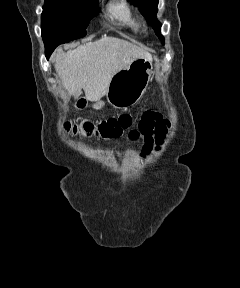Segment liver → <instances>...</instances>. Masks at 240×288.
Returning a JSON list of instances; mask_svg holds the SVG:
<instances>
[{
  "mask_svg": "<svg viewBox=\"0 0 240 288\" xmlns=\"http://www.w3.org/2000/svg\"><path fill=\"white\" fill-rule=\"evenodd\" d=\"M55 70L65 89L77 98L81 89L87 100L98 102L107 95L112 77L137 58L152 61L150 53L126 40L102 37L94 42L53 55Z\"/></svg>",
  "mask_w": 240,
  "mask_h": 288,
  "instance_id": "obj_1",
  "label": "liver"
}]
</instances>
